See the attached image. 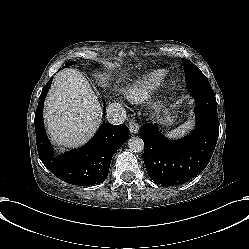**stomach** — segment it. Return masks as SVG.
<instances>
[{"label": "stomach", "mask_w": 249, "mask_h": 249, "mask_svg": "<svg viewBox=\"0 0 249 249\" xmlns=\"http://www.w3.org/2000/svg\"><path fill=\"white\" fill-rule=\"evenodd\" d=\"M160 123H162L166 127H172L175 125L176 119L172 116H165L163 119H160Z\"/></svg>", "instance_id": "1"}]
</instances>
